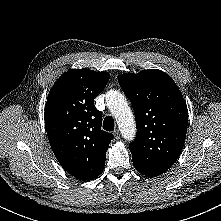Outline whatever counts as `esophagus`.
Returning a JSON list of instances; mask_svg holds the SVG:
<instances>
[{
  "mask_svg": "<svg viewBox=\"0 0 221 221\" xmlns=\"http://www.w3.org/2000/svg\"><path fill=\"white\" fill-rule=\"evenodd\" d=\"M114 137H115V139H119L120 138V131L118 129H116L114 131Z\"/></svg>",
  "mask_w": 221,
  "mask_h": 221,
  "instance_id": "34e87169",
  "label": "esophagus"
}]
</instances>
